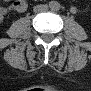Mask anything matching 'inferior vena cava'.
Masks as SVG:
<instances>
[{"label":"inferior vena cava","instance_id":"602c4592","mask_svg":"<svg viewBox=\"0 0 91 91\" xmlns=\"http://www.w3.org/2000/svg\"><path fill=\"white\" fill-rule=\"evenodd\" d=\"M47 9H48V6L46 4L45 5L40 4V5L35 6L33 10L35 13H38V12L46 11Z\"/></svg>","mask_w":91,"mask_h":91}]
</instances>
